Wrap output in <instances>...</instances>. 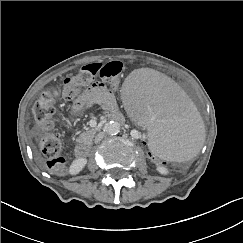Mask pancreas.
Wrapping results in <instances>:
<instances>
[{"label": "pancreas", "mask_w": 243, "mask_h": 243, "mask_svg": "<svg viewBox=\"0 0 243 243\" xmlns=\"http://www.w3.org/2000/svg\"><path fill=\"white\" fill-rule=\"evenodd\" d=\"M95 133H96L95 129H90L89 131L82 133L78 137V142L91 141L92 138L94 137Z\"/></svg>", "instance_id": "cf45deb5"}]
</instances>
